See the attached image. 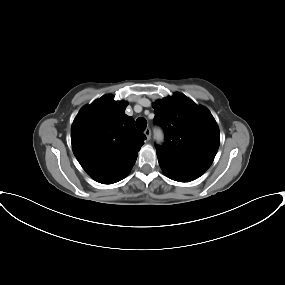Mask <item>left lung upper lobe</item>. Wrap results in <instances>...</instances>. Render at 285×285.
<instances>
[{
    "instance_id": "obj_1",
    "label": "left lung upper lobe",
    "mask_w": 285,
    "mask_h": 285,
    "mask_svg": "<svg viewBox=\"0 0 285 285\" xmlns=\"http://www.w3.org/2000/svg\"><path fill=\"white\" fill-rule=\"evenodd\" d=\"M154 121L166 135L157 155L206 171L220 144L218 125L210 111L180 93L153 104Z\"/></svg>"
}]
</instances>
